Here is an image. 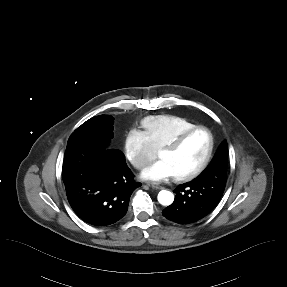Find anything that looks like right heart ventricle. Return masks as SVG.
<instances>
[{
    "instance_id": "obj_1",
    "label": "right heart ventricle",
    "mask_w": 287,
    "mask_h": 287,
    "mask_svg": "<svg viewBox=\"0 0 287 287\" xmlns=\"http://www.w3.org/2000/svg\"><path fill=\"white\" fill-rule=\"evenodd\" d=\"M141 124L155 149L162 148L184 131L196 126L186 117L171 114L148 116Z\"/></svg>"
}]
</instances>
